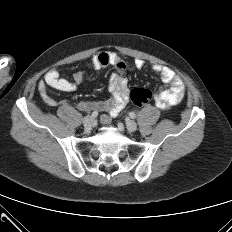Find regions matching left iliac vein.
<instances>
[{
    "mask_svg": "<svg viewBox=\"0 0 232 232\" xmlns=\"http://www.w3.org/2000/svg\"><path fill=\"white\" fill-rule=\"evenodd\" d=\"M126 128L130 132H134L137 129V124L133 120H128L126 122Z\"/></svg>",
    "mask_w": 232,
    "mask_h": 232,
    "instance_id": "4c4485c4",
    "label": "left iliac vein"
}]
</instances>
